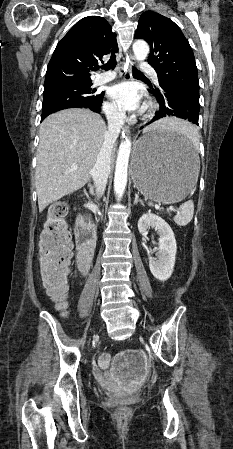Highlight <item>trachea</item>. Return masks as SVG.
Returning a JSON list of instances; mask_svg holds the SVG:
<instances>
[{
	"label": "trachea",
	"mask_w": 233,
	"mask_h": 449,
	"mask_svg": "<svg viewBox=\"0 0 233 449\" xmlns=\"http://www.w3.org/2000/svg\"><path fill=\"white\" fill-rule=\"evenodd\" d=\"M115 66H116V56L114 53H112L109 61L106 64H104L103 66H101V68H103L105 70H110V69L115 68ZM99 68H100L99 66L96 67V69H99ZM133 74H142V73L133 67Z\"/></svg>",
	"instance_id": "obj_1"
}]
</instances>
